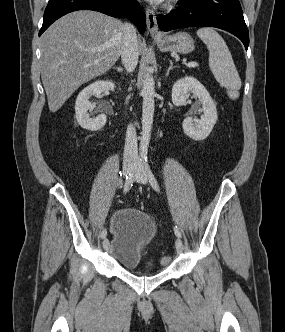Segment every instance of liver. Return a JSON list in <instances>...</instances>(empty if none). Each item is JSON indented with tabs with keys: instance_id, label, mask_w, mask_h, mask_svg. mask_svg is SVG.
I'll return each instance as SVG.
<instances>
[{
	"instance_id": "6515ba94",
	"label": "liver",
	"mask_w": 285,
	"mask_h": 332,
	"mask_svg": "<svg viewBox=\"0 0 285 332\" xmlns=\"http://www.w3.org/2000/svg\"><path fill=\"white\" fill-rule=\"evenodd\" d=\"M124 24L80 10L55 21L41 37V78L51 112L84 83L106 73L121 55ZM138 39V52L144 43Z\"/></svg>"
}]
</instances>
